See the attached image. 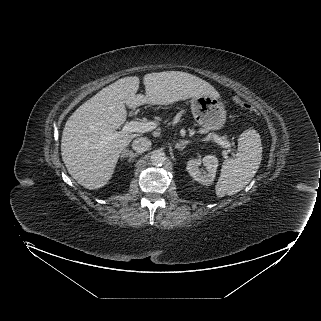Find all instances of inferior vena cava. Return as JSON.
Returning a JSON list of instances; mask_svg holds the SVG:
<instances>
[{"label":"inferior vena cava","mask_w":321,"mask_h":321,"mask_svg":"<svg viewBox=\"0 0 321 321\" xmlns=\"http://www.w3.org/2000/svg\"><path fill=\"white\" fill-rule=\"evenodd\" d=\"M151 147V141L145 137H139L132 143V148L137 153H143Z\"/></svg>","instance_id":"inferior-vena-cava-1"}]
</instances>
